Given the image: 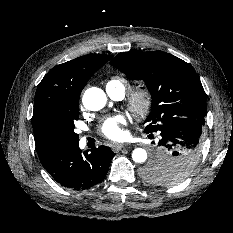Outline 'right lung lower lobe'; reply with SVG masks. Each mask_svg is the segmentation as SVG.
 I'll use <instances>...</instances> for the list:
<instances>
[{
  "label": "right lung lower lobe",
  "instance_id": "1",
  "mask_svg": "<svg viewBox=\"0 0 233 233\" xmlns=\"http://www.w3.org/2000/svg\"><path fill=\"white\" fill-rule=\"evenodd\" d=\"M38 153L44 168L55 181L73 190H85L102 181L115 155L107 146L82 153L78 144L59 151Z\"/></svg>",
  "mask_w": 233,
  "mask_h": 233
}]
</instances>
